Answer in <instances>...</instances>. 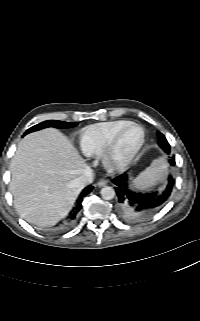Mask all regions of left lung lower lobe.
<instances>
[{"instance_id":"0a47b994","label":"left lung lower lobe","mask_w":200,"mask_h":321,"mask_svg":"<svg viewBox=\"0 0 200 321\" xmlns=\"http://www.w3.org/2000/svg\"><path fill=\"white\" fill-rule=\"evenodd\" d=\"M170 153V145L164 150ZM171 166L175 165L174 158L169 160ZM116 185V193L118 197V210L123 219L131 222H139L146 220L154 212L159 210L168 200L173 188V178L169 177L167 187L160 192L137 193L129 189L128 176L122 174L112 180Z\"/></svg>"}]
</instances>
